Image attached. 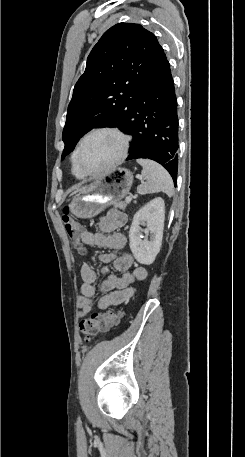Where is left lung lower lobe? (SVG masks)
I'll return each mask as SVG.
<instances>
[{
    "mask_svg": "<svg viewBox=\"0 0 245 457\" xmlns=\"http://www.w3.org/2000/svg\"><path fill=\"white\" fill-rule=\"evenodd\" d=\"M144 97L118 127L133 136L127 160L147 158L160 163L176 186L179 149L177 97L170 64L160 49L153 70L144 85Z\"/></svg>",
    "mask_w": 245,
    "mask_h": 457,
    "instance_id": "1",
    "label": "left lung lower lobe"
}]
</instances>
